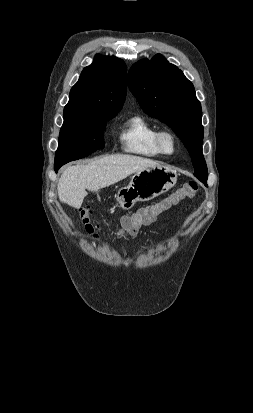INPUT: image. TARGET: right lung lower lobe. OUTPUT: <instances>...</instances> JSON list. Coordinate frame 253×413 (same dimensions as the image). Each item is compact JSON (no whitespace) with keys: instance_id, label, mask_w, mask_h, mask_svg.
<instances>
[{"instance_id":"1","label":"right lung lower lobe","mask_w":253,"mask_h":413,"mask_svg":"<svg viewBox=\"0 0 253 413\" xmlns=\"http://www.w3.org/2000/svg\"><path fill=\"white\" fill-rule=\"evenodd\" d=\"M62 165H54V169H55V171L57 172L58 171V169L61 167Z\"/></svg>"}]
</instances>
